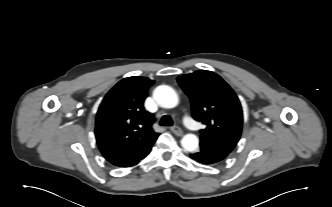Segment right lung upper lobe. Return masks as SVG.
<instances>
[{"instance_id": "right-lung-upper-lobe-1", "label": "right lung upper lobe", "mask_w": 332, "mask_h": 207, "mask_svg": "<svg viewBox=\"0 0 332 207\" xmlns=\"http://www.w3.org/2000/svg\"><path fill=\"white\" fill-rule=\"evenodd\" d=\"M153 81L127 77L104 97L96 116L95 135L103 156L113 165L130 167L151 151L159 136L152 129L154 117L143 103Z\"/></svg>"}]
</instances>
